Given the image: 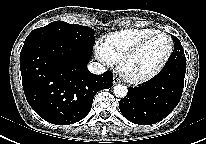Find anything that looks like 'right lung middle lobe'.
Masks as SVG:
<instances>
[{
  "label": "right lung middle lobe",
  "instance_id": "obj_1",
  "mask_svg": "<svg viewBox=\"0 0 206 144\" xmlns=\"http://www.w3.org/2000/svg\"><path fill=\"white\" fill-rule=\"evenodd\" d=\"M94 33V30L87 26L54 21L45 27L33 30L24 43L49 40L92 51L95 42Z\"/></svg>",
  "mask_w": 206,
  "mask_h": 144
}]
</instances>
